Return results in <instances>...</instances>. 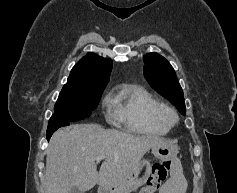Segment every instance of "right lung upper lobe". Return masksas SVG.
Segmentation results:
<instances>
[{
	"label": "right lung upper lobe",
	"mask_w": 237,
	"mask_h": 193,
	"mask_svg": "<svg viewBox=\"0 0 237 193\" xmlns=\"http://www.w3.org/2000/svg\"><path fill=\"white\" fill-rule=\"evenodd\" d=\"M112 61L88 53L71 70L65 85H78L90 88L105 87L109 81Z\"/></svg>",
	"instance_id": "obj_1"
}]
</instances>
